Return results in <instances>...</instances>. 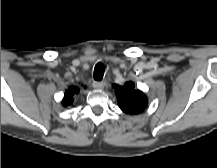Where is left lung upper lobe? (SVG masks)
<instances>
[{
    "label": "left lung upper lobe",
    "mask_w": 217,
    "mask_h": 168,
    "mask_svg": "<svg viewBox=\"0 0 217 168\" xmlns=\"http://www.w3.org/2000/svg\"><path fill=\"white\" fill-rule=\"evenodd\" d=\"M116 96L121 110L127 114H139L147 105V97L140 90L135 89L133 82H126L124 85H116Z\"/></svg>",
    "instance_id": "left-lung-upper-lobe-1"
}]
</instances>
